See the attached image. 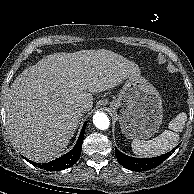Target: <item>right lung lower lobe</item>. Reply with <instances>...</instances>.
Here are the masks:
<instances>
[{
  "mask_svg": "<svg viewBox=\"0 0 194 194\" xmlns=\"http://www.w3.org/2000/svg\"><path fill=\"white\" fill-rule=\"evenodd\" d=\"M86 125H87V121L84 123V125L82 127V130L80 132V136L78 138L76 145L67 154H65V155H63V156H61L53 161H50L48 163H43V164L35 163V162H32L28 159H26V160L38 168L49 170V171L64 170L66 168L71 167L73 164H75L78 161V159L80 157Z\"/></svg>",
  "mask_w": 194,
  "mask_h": 194,
  "instance_id": "obj_1",
  "label": "right lung lower lobe"
}]
</instances>
